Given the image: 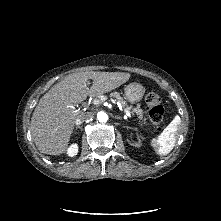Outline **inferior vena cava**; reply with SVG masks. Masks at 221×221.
<instances>
[{
    "instance_id": "1",
    "label": "inferior vena cava",
    "mask_w": 221,
    "mask_h": 221,
    "mask_svg": "<svg viewBox=\"0 0 221 221\" xmlns=\"http://www.w3.org/2000/svg\"><path fill=\"white\" fill-rule=\"evenodd\" d=\"M93 118V114L91 112H83L76 119L77 124H81L85 121H88Z\"/></svg>"
}]
</instances>
